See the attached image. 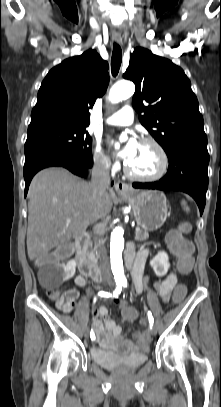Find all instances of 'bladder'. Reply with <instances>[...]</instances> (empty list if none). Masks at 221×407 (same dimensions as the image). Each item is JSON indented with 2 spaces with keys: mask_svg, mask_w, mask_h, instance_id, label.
Wrapping results in <instances>:
<instances>
[{
  "mask_svg": "<svg viewBox=\"0 0 221 407\" xmlns=\"http://www.w3.org/2000/svg\"><path fill=\"white\" fill-rule=\"evenodd\" d=\"M92 362L102 368L109 370L136 369L147 362L146 350L128 353L124 349H107L92 347L90 349Z\"/></svg>",
  "mask_w": 221,
  "mask_h": 407,
  "instance_id": "obj_1",
  "label": "bladder"
}]
</instances>
